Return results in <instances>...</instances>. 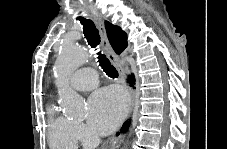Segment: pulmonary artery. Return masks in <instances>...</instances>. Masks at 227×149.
<instances>
[{"label":"pulmonary artery","mask_w":227,"mask_h":149,"mask_svg":"<svg viewBox=\"0 0 227 149\" xmlns=\"http://www.w3.org/2000/svg\"><path fill=\"white\" fill-rule=\"evenodd\" d=\"M70 84L79 91H89L98 84V75L93 68H81L70 77Z\"/></svg>","instance_id":"pulmonary-artery-1"}]
</instances>
